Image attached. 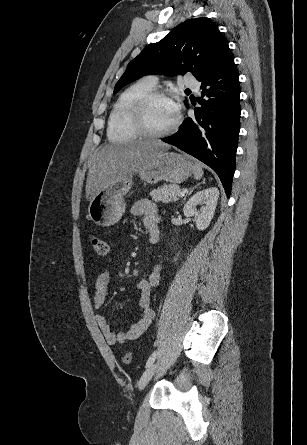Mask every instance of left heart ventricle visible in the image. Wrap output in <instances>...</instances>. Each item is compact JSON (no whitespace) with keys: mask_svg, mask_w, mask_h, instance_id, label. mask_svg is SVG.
I'll return each instance as SVG.
<instances>
[{"mask_svg":"<svg viewBox=\"0 0 307 445\" xmlns=\"http://www.w3.org/2000/svg\"><path fill=\"white\" fill-rule=\"evenodd\" d=\"M176 115L172 112L169 101L158 99L153 101L147 109V122L156 132L167 129L174 121Z\"/></svg>","mask_w":307,"mask_h":445,"instance_id":"1","label":"left heart ventricle"}]
</instances>
